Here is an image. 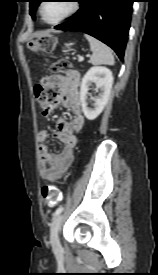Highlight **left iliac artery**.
Listing matches in <instances>:
<instances>
[{
  "label": "left iliac artery",
  "mask_w": 158,
  "mask_h": 275,
  "mask_svg": "<svg viewBox=\"0 0 158 275\" xmlns=\"http://www.w3.org/2000/svg\"><path fill=\"white\" fill-rule=\"evenodd\" d=\"M64 207L60 206L56 209V211L54 212L53 216L56 217L58 216L62 211H63Z\"/></svg>",
  "instance_id": "left-iliac-artery-1"
}]
</instances>
